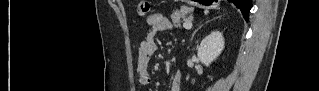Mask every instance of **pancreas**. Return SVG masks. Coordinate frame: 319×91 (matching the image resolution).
Listing matches in <instances>:
<instances>
[{
    "instance_id": "cf45deb5",
    "label": "pancreas",
    "mask_w": 319,
    "mask_h": 91,
    "mask_svg": "<svg viewBox=\"0 0 319 91\" xmlns=\"http://www.w3.org/2000/svg\"><path fill=\"white\" fill-rule=\"evenodd\" d=\"M192 10L187 7H182L180 11L176 10L171 15V20L175 27L181 28V19H185L186 14H190L189 19H191Z\"/></svg>"
}]
</instances>
